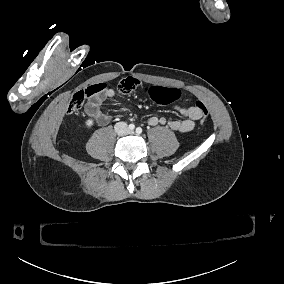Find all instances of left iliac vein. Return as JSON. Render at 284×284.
I'll use <instances>...</instances> for the list:
<instances>
[{"instance_id":"left-iliac-vein-1","label":"left iliac vein","mask_w":284,"mask_h":284,"mask_svg":"<svg viewBox=\"0 0 284 284\" xmlns=\"http://www.w3.org/2000/svg\"><path fill=\"white\" fill-rule=\"evenodd\" d=\"M129 134H133V132H132V131H130V132H129Z\"/></svg>"}]
</instances>
